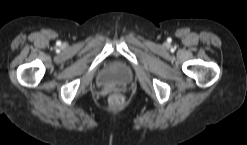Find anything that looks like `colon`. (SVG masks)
Here are the masks:
<instances>
[{
  "mask_svg": "<svg viewBox=\"0 0 247 145\" xmlns=\"http://www.w3.org/2000/svg\"><path fill=\"white\" fill-rule=\"evenodd\" d=\"M122 103V98L118 95H115L111 98V104L112 105H120Z\"/></svg>",
  "mask_w": 247,
  "mask_h": 145,
  "instance_id": "5ec220e1",
  "label": "colon"
}]
</instances>
